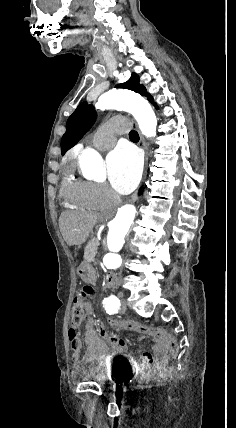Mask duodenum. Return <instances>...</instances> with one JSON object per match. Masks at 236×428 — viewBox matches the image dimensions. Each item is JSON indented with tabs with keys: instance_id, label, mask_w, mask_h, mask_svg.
I'll return each instance as SVG.
<instances>
[{
	"instance_id": "obj_1",
	"label": "duodenum",
	"mask_w": 236,
	"mask_h": 428,
	"mask_svg": "<svg viewBox=\"0 0 236 428\" xmlns=\"http://www.w3.org/2000/svg\"><path fill=\"white\" fill-rule=\"evenodd\" d=\"M105 284L108 289H112L117 284V274L115 273H107L105 276Z\"/></svg>"
}]
</instances>
